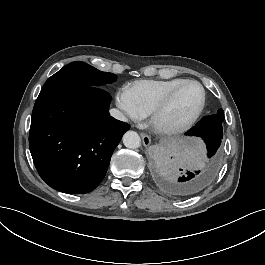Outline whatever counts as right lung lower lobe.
<instances>
[{
	"label": "right lung lower lobe",
	"instance_id": "obj_1",
	"mask_svg": "<svg viewBox=\"0 0 265 265\" xmlns=\"http://www.w3.org/2000/svg\"><path fill=\"white\" fill-rule=\"evenodd\" d=\"M111 96L98 87L42 89L33 108L29 147L41 178L64 193H87L104 178L130 128L109 116Z\"/></svg>",
	"mask_w": 265,
	"mask_h": 265
}]
</instances>
